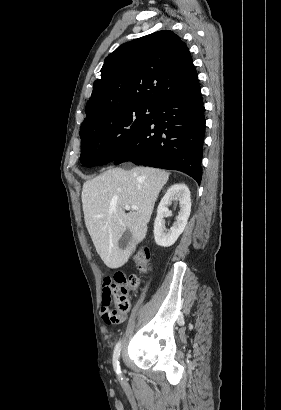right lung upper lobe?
Wrapping results in <instances>:
<instances>
[{
	"instance_id": "1",
	"label": "right lung upper lobe",
	"mask_w": 281,
	"mask_h": 410,
	"mask_svg": "<svg viewBox=\"0 0 281 410\" xmlns=\"http://www.w3.org/2000/svg\"><path fill=\"white\" fill-rule=\"evenodd\" d=\"M197 82L190 52L172 31L135 39L105 59L101 77L95 81L85 107L84 122L119 107H153L159 100L186 91Z\"/></svg>"
}]
</instances>
